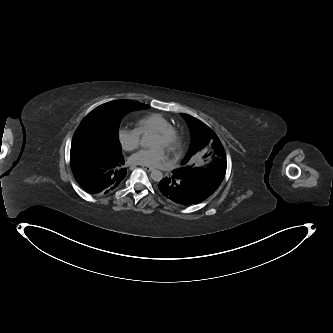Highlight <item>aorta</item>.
Listing matches in <instances>:
<instances>
[{
  "mask_svg": "<svg viewBox=\"0 0 333 333\" xmlns=\"http://www.w3.org/2000/svg\"><path fill=\"white\" fill-rule=\"evenodd\" d=\"M159 144V138L154 134H146L141 138V145L145 148H155ZM152 180L159 182L163 179V173L159 170H153L151 172Z\"/></svg>",
  "mask_w": 333,
  "mask_h": 333,
  "instance_id": "aorta-1",
  "label": "aorta"
}]
</instances>
